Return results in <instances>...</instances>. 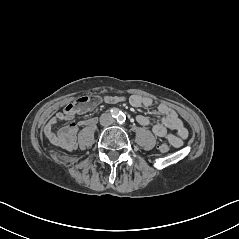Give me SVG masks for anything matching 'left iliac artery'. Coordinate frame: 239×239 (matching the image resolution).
<instances>
[{"mask_svg": "<svg viewBox=\"0 0 239 239\" xmlns=\"http://www.w3.org/2000/svg\"><path fill=\"white\" fill-rule=\"evenodd\" d=\"M126 117L123 113H121L120 117H119V122L123 123L125 121Z\"/></svg>", "mask_w": 239, "mask_h": 239, "instance_id": "obj_1", "label": "left iliac artery"}]
</instances>
